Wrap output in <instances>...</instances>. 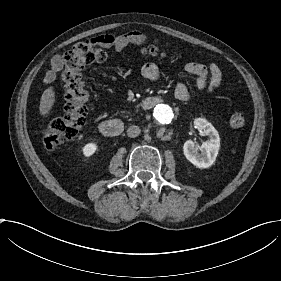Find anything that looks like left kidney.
Masks as SVG:
<instances>
[{"mask_svg":"<svg viewBox=\"0 0 281 281\" xmlns=\"http://www.w3.org/2000/svg\"><path fill=\"white\" fill-rule=\"evenodd\" d=\"M194 125L203 130L204 135L210 139L203 142L201 146L195 144L192 140H187L183 146V152L187 160L198 168H208L216 160L219 148L220 137L218 131L205 118H196ZM200 149L201 153H198Z\"/></svg>","mask_w":281,"mask_h":281,"instance_id":"left-kidney-1","label":"left kidney"}]
</instances>
